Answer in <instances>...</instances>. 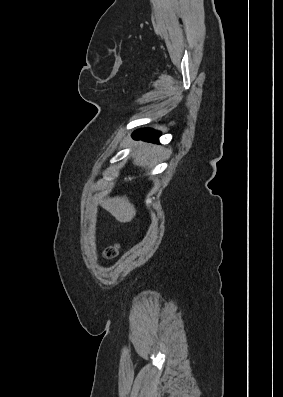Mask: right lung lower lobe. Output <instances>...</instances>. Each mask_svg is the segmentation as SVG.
<instances>
[{
    "label": "right lung lower lobe",
    "instance_id": "right-lung-lower-lobe-1",
    "mask_svg": "<svg viewBox=\"0 0 283 397\" xmlns=\"http://www.w3.org/2000/svg\"><path fill=\"white\" fill-rule=\"evenodd\" d=\"M135 139H143L147 141H157L160 133L151 129H140L134 133Z\"/></svg>",
    "mask_w": 283,
    "mask_h": 397
}]
</instances>
